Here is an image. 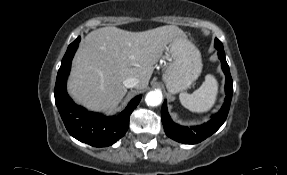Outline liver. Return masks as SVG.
<instances>
[{
  "label": "liver",
  "mask_w": 287,
  "mask_h": 175,
  "mask_svg": "<svg viewBox=\"0 0 287 175\" xmlns=\"http://www.w3.org/2000/svg\"><path fill=\"white\" fill-rule=\"evenodd\" d=\"M184 35L174 25L143 32L116 27L91 31L73 60L69 94L91 110H114L127 93L124 80L135 77L139 79L138 88L147 87L167 44Z\"/></svg>",
  "instance_id": "6515ba94"
}]
</instances>
